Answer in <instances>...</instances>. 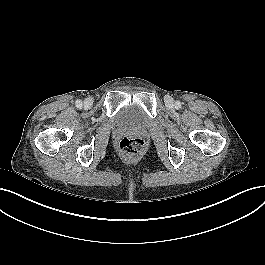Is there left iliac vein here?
Listing matches in <instances>:
<instances>
[{
    "instance_id": "4c4485c4",
    "label": "left iliac vein",
    "mask_w": 265,
    "mask_h": 265,
    "mask_svg": "<svg viewBox=\"0 0 265 265\" xmlns=\"http://www.w3.org/2000/svg\"><path fill=\"white\" fill-rule=\"evenodd\" d=\"M165 103H166V106H167L168 108H173V107H174V100H173V98L170 97V96H167V97L165 98Z\"/></svg>"
}]
</instances>
